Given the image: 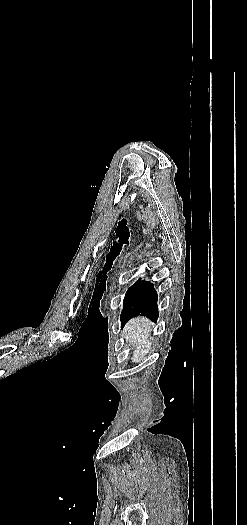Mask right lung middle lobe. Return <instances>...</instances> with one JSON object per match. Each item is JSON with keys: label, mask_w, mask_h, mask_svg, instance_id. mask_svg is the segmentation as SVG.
I'll list each match as a JSON object with an SVG mask.
<instances>
[{"label": "right lung middle lobe", "mask_w": 247, "mask_h": 525, "mask_svg": "<svg viewBox=\"0 0 247 525\" xmlns=\"http://www.w3.org/2000/svg\"><path fill=\"white\" fill-rule=\"evenodd\" d=\"M141 280H137V282L135 284H133L129 289L128 291L126 292L125 294V297H124V304L125 302L127 301V299L129 298V296L134 292V290L138 287V285L140 284Z\"/></svg>", "instance_id": "1"}]
</instances>
